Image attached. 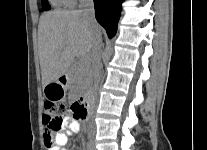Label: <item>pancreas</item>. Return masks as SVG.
Instances as JSON below:
<instances>
[{
    "label": "pancreas",
    "instance_id": "obj_1",
    "mask_svg": "<svg viewBox=\"0 0 207 150\" xmlns=\"http://www.w3.org/2000/svg\"><path fill=\"white\" fill-rule=\"evenodd\" d=\"M73 76L70 78L72 93L76 90H83L87 88L91 81V73L89 69V61L85 64L78 63L72 70Z\"/></svg>",
    "mask_w": 207,
    "mask_h": 150
}]
</instances>
